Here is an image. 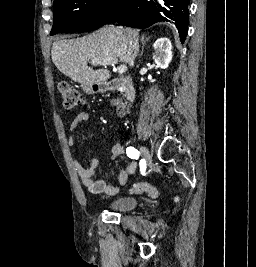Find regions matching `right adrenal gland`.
I'll list each match as a JSON object with an SVG mask.
<instances>
[{"label": "right adrenal gland", "mask_w": 256, "mask_h": 267, "mask_svg": "<svg viewBox=\"0 0 256 267\" xmlns=\"http://www.w3.org/2000/svg\"><path fill=\"white\" fill-rule=\"evenodd\" d=\"M145 42H146V40H145V36H142V38H141L142 52H141L140 56H142V54H143V52H144Z\"/></svg>", "instance_id": "1"}]
</instances>
